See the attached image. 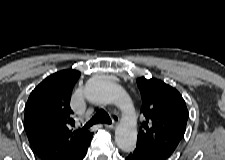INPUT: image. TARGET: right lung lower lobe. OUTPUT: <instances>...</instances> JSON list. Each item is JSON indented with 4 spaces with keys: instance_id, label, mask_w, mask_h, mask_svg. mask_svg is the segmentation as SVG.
Instances as JSON below:
<instances>
[{
    "instance_id": "1",
    "label": "right lung lower lobe",
    "mask_w": 225,
    "mask_h": 160,
    "mask_svg": "<svg viewBox=\"0 0 225 160\" xmlns=\"http://www.w3.org/2000/svg\"><path fill=\"white\" fill-rule=\"evenodd\" d=\"M89 144H88V146H89ZM88 146H86L84 148V150H82L77 156H75L73 158H70V159L67 158V159H64V160H83V158L86 156ZM41 159H43V160H52L51 158H48V159L41 158Z\"/></svg>"
}]
</instances>
